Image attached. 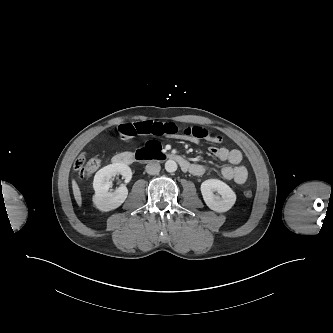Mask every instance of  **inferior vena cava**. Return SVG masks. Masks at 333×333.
Segmentation results:
<instances>
[{
    "label": "inferior vena cava",
    "instance_id": "obj_1",
    "mask_svg": "<svg viewBox=\"0 0 333 333\" xmlns=\"http://www.w3.org/2000/svg\"><path fill=\"white\" fill-rule=\"evenodd\" d=\"M161 166L160 164L154 162V163H149L146 165V172L150 175L158 174L160 172Z\"/></svg>",
    "mask_w": 333,
    "mask_h": 333
}]
</instances>
